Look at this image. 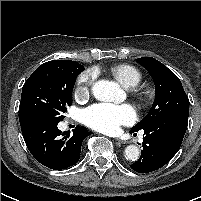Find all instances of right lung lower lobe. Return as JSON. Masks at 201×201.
Masks as SVG:
<instances>
[{"mask_svg":"<svg viewBox=\"0 0 201 201\" xmlns=\"http://www.w3.org/2000/svg\"><path fill=\"white\" fill-rule=\"evenodd\" d=\"M59 121L47 117L35 118L21 125L23 138L34 158L54 170L65 169L78 162L81 144L91 134L77 126L73 133L61 132Z\"/></svg>","mask_w":201,"mask_h":201,"instance_id":"right-lung-lower-lobe-1","label":"right lung lower lobe"}]
</instances>
